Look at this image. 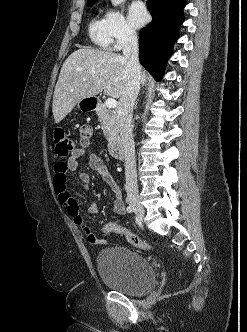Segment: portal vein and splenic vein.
I'll return each mask as SVG.
<instances>
[{
  "label": "portal vein and splenic vein",
  "instance_id": "18ae733b",
  "mask_svg": "<svg viewBox=\"0 0 247 332\" xmlns=\"http://www.w3.org/2000/svg\"><path fill=\"white\" fill-rule=\"evenodd\" d=\"M105 105L108 107V108H115L117 106V101L116 99L114 98H108L106 101H105Z\"/></svg>",
  "mask_w": 247,
  "mask_h": 332
}]
</instances>
